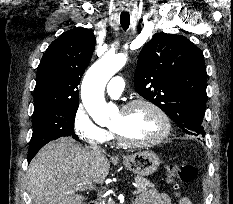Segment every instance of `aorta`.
Wrapping results in <instances>:
<instances>
[{
  "label": "aorta",
  "mask_w": 233,
  "mask_h": 204,
  "mask_svg": "<svg viewBox=\"0 0 233 204\" xmlns=\"http://www.w3.org/2000/svg\"><path fill=\"white\" fill-rule=\"evenodd\" d=\"M127 58L123 54H106L94 63L86 72L82 86L83 105L93 120L99 125H106L117 112V107L107 103L104 89L109 79L125 65Z\"/></svg>",
  "instance_id": "obj_1"
}]
</instances>
